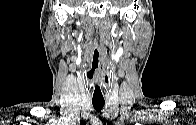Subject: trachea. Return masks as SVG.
<instances>
[{
  "instance_id": "1",
  "label": "trachea",
  "mask_w": 196,
  "mask_h": 125,
  "mask_svg": "<svg viewBox=\"0 0 196 125\" xmlns=\"http://www.w3.org/2000/svg\"><path fill=\"white\" fill-rule=\"evenodd\" d=\"M92 104H93L94 109L97 112H100L105 105V101L104 100H92Z\"/></svg>"
}]
</instances>
